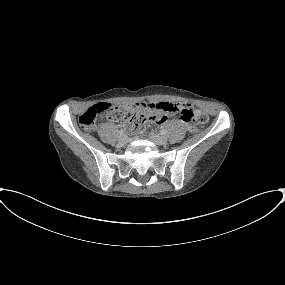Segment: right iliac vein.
Here are the masks:
<instances>
[{"instance_id": "right-iliac-vein-1", "label": "right iliac vein", "mask_w": 285, "mask_h": 285, "mask_svg": "<svg viewBox=\"0 0 285 285\" xmlns=\"http://www.w3.org/2000/svg\"><path fill=\"white\" fill-rule=\"evenodd\" d=\"M127 142H128V137L127 136H121L120 138H119V145L120 146H125L126 144H127Z\"/></svg>"}]
</instances>
